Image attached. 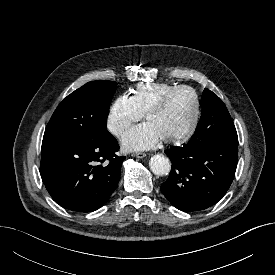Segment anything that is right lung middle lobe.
<instances>
[{"label": "right lung middle lobe", "mask_w": 275, "mask_h": 275, "mask_svg": "<svg viewBox=\"0 0 275 275\" xmlns=\"http://www.w3.org/2000/svg\"><path fill=\"white\" fill-rule=\"evenodd\" d=\"M116 88L114 81H91L68 95L53 113L43 141L87 140L108 134L109 104Z\"/></svg>", "instance_id": "dd1d6c3e"}]
</instances>
